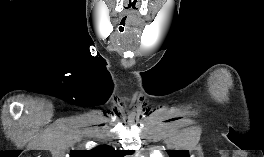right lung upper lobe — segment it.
I'll return each mask as SVG.
<instances>
[{"mask_svg": "<svg viewBox=\"0 0 264 157\" xmlns=\"http://www.w3.org/2000/svg\"><path fill=\"white\" fill-rule=\"evenodd\" d=\"M129 150H115L110 146H99L91 150H72L70 157H124L131 154Z\"/></svg>", "mask_w": 264, "mask_h": 157, "instance_id": "right-lung-upper-lobe-1", "label": "right lung upper lobe"}]
</instances>
